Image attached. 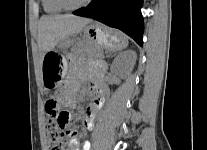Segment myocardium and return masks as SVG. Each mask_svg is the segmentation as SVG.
<instances>
[{
  "label": "myocardium",
  "mask_w": 207,
  "mask_h": 150,
  "mask_svg": "<svg viewBox=\"0 0 207 150\" xmlns=\"http://www.w3.org/2000/svg\"><path fill=\"white\" fill-rule=\"evenodd\" d=\"M54 1L63 10H77L89 4L92 0H83L82 2L76 5H71L66 0H54Z\"/></svg>",
  "instance_id": "myocardium-1"
}]
</instances>
